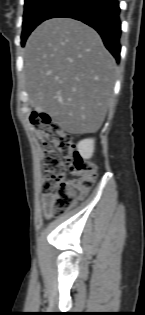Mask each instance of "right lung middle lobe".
<instances>
[{
    "mask_svg": "<svg viewBox=\"0 0 145 315\" xmlns=\"http://www.w3.org/2000/svg\"><path fill=\"white\" fill-rule=\"evenodd\" d=\"M65 0H25L23 15V31L21 44L24 46L26 39L33 29L46 20Z\"/></svg>",
    "mask_w": 145,
    "mask_h": 315,
    "instance_id": "dd1d6c3e",
    "label": "right lung middle lobe"
}]
</instances>
